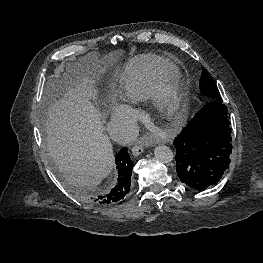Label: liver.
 <instances>
[{
	"mask_svg": "<svg viewBox=\"0 0 263 263\" xmlns=\"http://www.w3.org/2000/svg\"><path fill=\"white\" fill-rule=\"evenodd\" d=\"M119 55L114 52L105 59L115 60ZM84 60L87 71L98 67L90 57ZM90 74L77 77L76 82L46 85L47 93L55 92L45 124L49 155L70 184L87 189L100 184L114 167L111 141L103 134L100 113L91 101L95 80Z\"/></svg>",
	"mask_w": 263,
	"mask_h": 263,
	"instance_id": "6515ba94",
	"label": "liver"
}]
</instances>
